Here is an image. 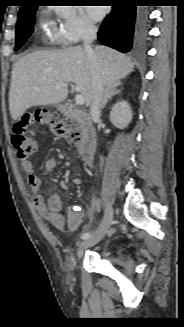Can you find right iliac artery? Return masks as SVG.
Wrapping results in <instances>:
<instances>
[{
    "label": "right iliac artery",
    "mask_w": 184,
    "mask_h": 327,
    "mask_svg": "<svg viewBox=\"0 0 184 327\" xmlns=\"http://www.w3.org/2000/svg\"><path fill=\"white\" fill-rule=\"evenodd\" d=\"M90 236H91V233H89V232H85V233L82 234L81 238H82L83 240H85V239H88Z\"/></svg>",
    "instance_id": "82829eb1"
}]
</instances>
